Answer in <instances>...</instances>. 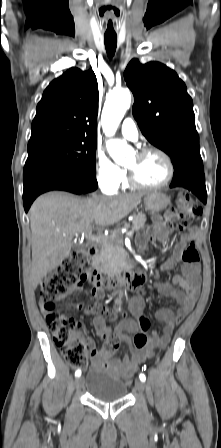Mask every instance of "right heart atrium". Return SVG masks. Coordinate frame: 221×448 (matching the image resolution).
I'll return each mask as SVG.
<instances>
[{
  "label": "right heart atrium",
  "instance_id": "right-heart-atrium-1",
  "mask_svg": "<svg viewBox=\"0 0 221 448\" xmlns=\"http://www.w3.org/2000/svg\"><path fill=\"white\" fill-rule=\"evenodd\" d=\"M94 169L99 187L107 193L115 192L125 177V171L104 152H97Z\"/></svg>",
  "mask_w": 221,
  "mask_h": 448
}]
</instances>
